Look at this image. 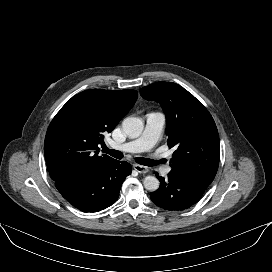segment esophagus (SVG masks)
I'll return each instance as SVG.
<instances>
[{"mask_svg": "<svg viewBox=\"0 0 272 272\" xmlns=\"http://www.w3.org/2000/svg\"><path fill=\"white\" fill-rule=\"evenodd\" d=\"M133 168L141 174L147 173L148 172V168L139 164H134Z\"/></svg>", "mask_w": 272, "mask_h": 272, "instance_id": "esophagus-1", "label": "esophagus"}]
</instances>
